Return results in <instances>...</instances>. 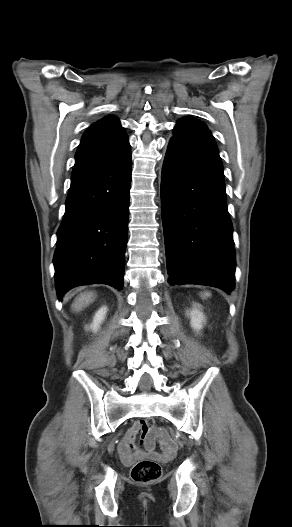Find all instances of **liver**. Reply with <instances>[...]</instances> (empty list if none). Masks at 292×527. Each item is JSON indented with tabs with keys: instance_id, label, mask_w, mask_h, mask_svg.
I'll return each mask as SVG.
<instances>
[{
	"instance_id": "liver-1",
	"label": "liver",
	"mask_w": 292,
	"mask_h": 527,
	"mask_svg": "<svg viewBox=\"0 0 292 527\" xmlns=\"http://www.w3.org/2000/svg\"><path fill=\"white\" fill-rule=\"evenodd\" d=\"M96 298V295L92 291H87L84 293H80L78 297L74 300L72 304V309L74 311H81L84 307L91 304Z\"/></svg>"
}]
</instances>
